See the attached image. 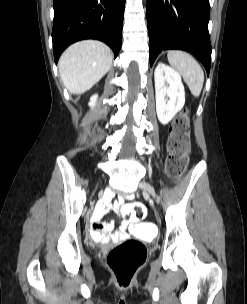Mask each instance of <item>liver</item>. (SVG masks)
Listing matches in <instances>:
<instances>
[{"mask_svg": "<svg viewBox=\"0 0 247 304\" xmlns=\"http://www.w3.org/2000/svg\"><path fill=\"white\" fill-rule=\"evenodd\" d=\"M111 49L96 40H85L69 46L58 63L63 84L73 94L91 89L110 69Z\"/></svg>", "mask_w": 247, "mask_h": 304, "instance_id": "6515ba94", "label": "liver"}]
</instances>
